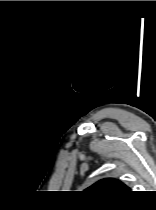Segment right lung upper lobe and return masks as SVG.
I'll list each match as a JSON object with an SVG mask.
<instances>
[{
  "label": "right lung upper lobe",
  "mask_w": 156,
  "mask_h": 210,
  "mask_svg": "<svg viewBox=\"0 0 156 210\" xmlns=\"http://www.w3.org/2000/svg\"><path fill=\"white\" fill-rule=\"evenodd\" d=\"M87 191L98 194H121L129 192L130 190L121 181L113 178H106L94 183Z\"/></svg>",
  "instance_id": "right-lung-upper-lobe-1"
}]
</instances>
